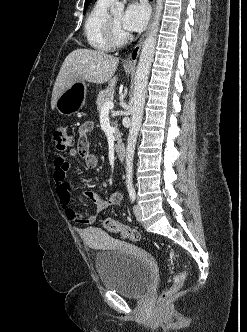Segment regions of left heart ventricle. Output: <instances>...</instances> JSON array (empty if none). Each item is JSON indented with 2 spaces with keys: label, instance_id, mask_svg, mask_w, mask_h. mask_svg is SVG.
<instances>
[{
  "label": "left heart ventricle",
  "instance_id": "b2bd125f",
  "mask_svg": "<svg viewBox=\"0 0 247 332\" xmlns=\"http://www.w3.org/2000/svg\"><path fill=\"white\" fill-rule=\"evenodd\" d=\"M111 17H112V21H113L117 35L120 37L127 35L128 32L124 29V27L122 25L123 13L122 12L111 13Z\"/></svg>",
  "mask_w": 247,
  "mask_h": 332
}]
</instances>
